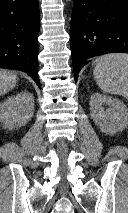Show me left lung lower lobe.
<instances>
[{
	"label": "left lung lower lobe",
	"mask_w": 128,
	"mask_h": 213,
	"mask_svg": "<svg viewBox=\"0 0 128 213\" xmlns=\"http://www.w3.org/2000/svg\"><path fill=\"white\" fill-rule=\"evenodd\" d=\"M70 38L75 79L91 57L128 53V0H74Z\"/></svg>",
	"instance_id": "obj_1"
}]
</instances>
